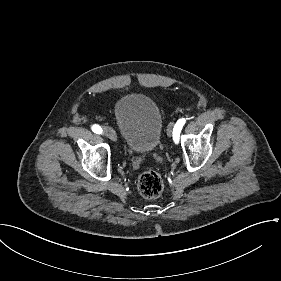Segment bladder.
Segmentation results:
<instances>
[{"instance_id":"1","label":"bladder","mask_w":281,"mask_h":281,"mask_svg":"<svg viewBox=\"0 0 281 281\" xmlns=\"http://www.w3.org/2000/svg\"><path fill=\"white\" fill-rule=\"evenodd\" d=\"M112 113L116 129L130 150L140 155H149L159 149L164 117L150 94H126L114 103Z\"/></svg>"}]
</instances>
